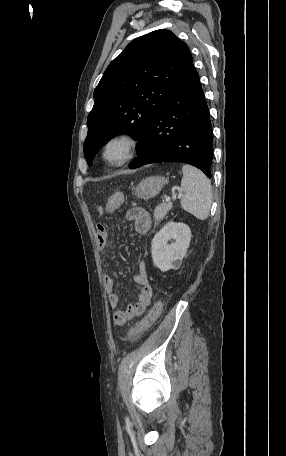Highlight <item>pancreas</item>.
<instances>
[{
  "instance_id": "obj_1",
  "label": "pancreas",
  "mask_w": 286,
  "mask_h": 456,
  "mask_svg": "<svg viewBox=\"0 0 286 456\" xmlns=\"http://www.w3.org/2000/svg\"><path fill=\"white\" fill-rule=\"evenodd\" d=\"M172 206L173 205L171 202L162 203V204L158 205L154 210V219L156 221L163 220V218L166 216V214L171 210Z\"/></svg>"
}]
</instances>
